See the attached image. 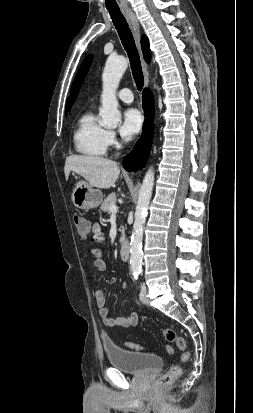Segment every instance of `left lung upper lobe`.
I'll return each mask as SVG.
<instances>
[{
  "label": "left lung upper lobe",
  "mask_w": 253,
  "mask_h": 413,
  "mask_svg": "<svg viewBox=\"0 0 253 413\" xmlns=\"http://www.w3.org/2000/svg\"><path fill=\"white\" fill-rule=\"evenodd\" d=\"M91 60H92V55L88 56L84 62L82 63L74 81L72 84V88H71V98H70V103H69V107H71V105L73 104V102L75 101L78 92L80 90L81 84L89 70L90 64H91Z\"/></svg>",
  "instance_id": "obj_1"
}]
</instances>
